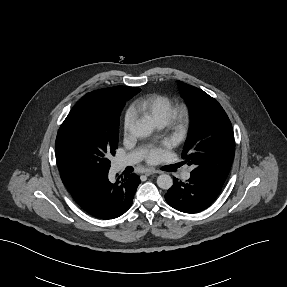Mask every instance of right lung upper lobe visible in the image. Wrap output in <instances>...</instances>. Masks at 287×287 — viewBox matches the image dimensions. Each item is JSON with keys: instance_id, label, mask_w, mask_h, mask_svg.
Listing matches in <instances>:
<instances>
[{"instance_id": "1", "label": "right lung upper lobe", "mask_w": 287, "mask_h": 287, "mask_svg": "<svg viewBox=\"0 0 287 287\" xmlns=\"http://www.w3.org/2000/svg\"><path fill=\"white\" fill-rule=\"evenodd\" d=\"M140 91L139 88L127 87V86H116L111 88H105L93 91L95 93H104L108 95V101L113 107H117L120 104L126 102L130 98H132L135 94ZM59 171L62 175V179L72 180L78 179V177H74L70 171L66 169H60Z\"/></svg>"}]
</instances>
